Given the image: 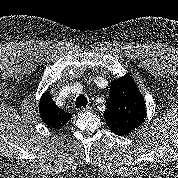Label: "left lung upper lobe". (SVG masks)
Here are the masks:
<instances>
[{"mask_svg":"<svg viewBox=\"0 0 178 178\" xmlns=\"http://www.w3.org/2000/svg\"><path fill=\"white\" fill-rule=\"evenodd\" d=\"M109 95L104 114L107 126L127 134L133 132L146 117V104L133 78L126 74L113 80Z\"/></svg>","mask_w":178,"mask_h":178,"instance_id":"1","label":"left lung upper lobe"}]
</instances>
